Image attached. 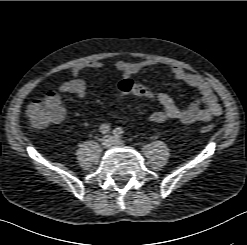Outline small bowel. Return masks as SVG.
<instances>
[{
  "mask_svg": "<svg viewBox=\"0 0 247 245\" xmlns=\"http://www.w3.org/2000/svg\"><path fill=\"white\" fill-rule=\"evenodd\" d=\"M152 59H145L138 62L118 61L115 63V69L122 77L128 78L143 69L155 65ZM104 63L99 60H92L76 64L71 69L72 79L66 80L60 84L58 89L50 90L44 97L46 101H55L61 104V93L74 94L84 99L86 95V83L80 78L84 69H100ZM172 77L199 92V98L185 108L177 106L173 98L163 92L152 91L151 99L156 100L160 109L150 113L149 119L155 123H163L168 120H177L183 124H192L195 122L210 121L212 118L221 115L222 107L214 93L211 85L201 76L189 73L179 66L171 68ZM64 111V109H63ZM65 112V111H64Z\"/></svg>",
  "mask_w": 247,
  "mask_h": 245,
  "instance_id": "obj_1",
  "label": "small bowel"
}]
</instances>
